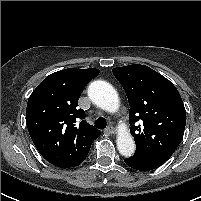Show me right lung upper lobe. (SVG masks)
<instances>
[{"label":"right lung upper lobe","mask_w":201,"mask_h":201,"mask_svg":"<svg viewBox=\"0 0 201 201\" xmlns=\"http://www.w3.org/2000/svg\"><path fill=\"white\" fill-rule=\"evenodd\" d=\"M98 74V69L77 68L55 72L28 99L26 123L31 139L40 154L57 167L80 165L100 136L77 108L83 88Z\"/></svg>","instance_id":"1"}]
</instances>
